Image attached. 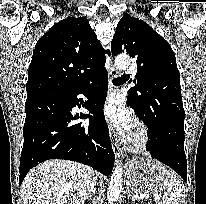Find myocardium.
<instances>
[{"label": "myocardium", "mask_w": 206, "mask_h": 204, "mask_svg": "<svg viewBox=\"0 0 206 204\" xmlns=\"http://www.w3.org/2000/svg\"><path fill=\"white\" fill-rule=\"evenodd\" d=\"M151 142V135L148 127L142 121H137L134 131L129 139V149L134 152H142L147 149Z\"/></svg>", "instance_id": "1"}]
</instances>
